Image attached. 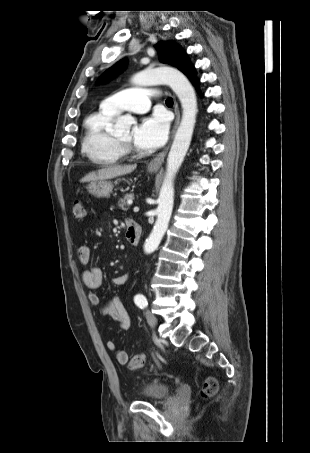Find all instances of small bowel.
Returning <instances> with one entry per match:
<instances>
[{"label": "small bowel", "instance_id": "c3829d8e", "mask_svg": "<svg viewBox=\"0 0 310 453\" xmlns=\"http://www.w3.org/2000/svg\"><path fill=\"white\" fill-rule=\"evenodd\" d=\"M92 251L88 245H81L78 248V258L82 265H88L91 261ZM130 278L129 273L115 276L111 279L114 286L118 287L125 284ZM103 273L97 267L86 269L82 273V281L90 290L88 299L93 306H96L99 313L104 317H110L117 321L123 330H128L131 324L130 315L118 295H113L110 301L102 303L97 290L103 283ZM108 350L115 354L116 361L120 365H126L129 361L128 354L123 350H118L113 340L106 343Z\"/></svg>", "mask_w": 310, "mask_h": 453}]
</instances>
